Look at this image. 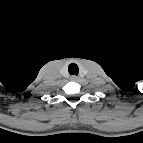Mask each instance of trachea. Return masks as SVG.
Masks as SVG:
<instances>
[{
  "mask_svg": "<svg viewBox=\"0 0 143 143\" xmlns=\"http://www.w3.org/2000/svg\"><path fill=\"white\" fill-rule=\"evenodd\" d=\"M68 71L70 75H78L79 68L75 63H71L68 67Z\"/></svg>",
  "mask_w": 143,
  "mask_h": 143,
  "instance_id": "3493384b",
  "label": "trachea"
}]
</instances>
